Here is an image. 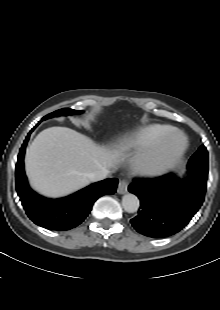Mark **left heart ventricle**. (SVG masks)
I'll return each mask as SVG.
<instances>
[{
	"instance_id": "left-heart-ventricle-1",
	"label": "left heart ventricle",
	"mask_w": 220,
	"mask_h": 310,
	"mask_svg": "<svg viewBox=\"0 0 220 310\" xmlns=\"http://www.w3.org/2000/svg\"><path fill=\"white\" fill-rule=\"evenodd\" d=\"M172 151H173V147L166 153V157L171 155Z\"/></svg>"
}]
</instances>
